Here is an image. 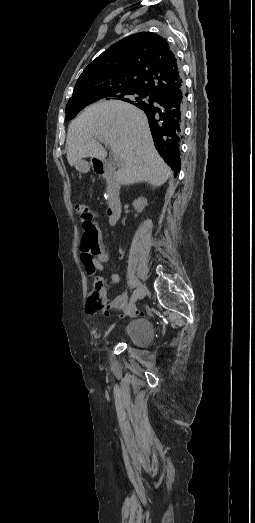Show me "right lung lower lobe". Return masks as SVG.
Returning a JSON list of instances; mask_svg holds the SVG:
<instances>
[{
	"label": "right lung lower lobe",
	"instance_id": "98d812e1",
	"mask_svg": "<svg viewBox=\"0 0 255 523\" xmlns=\"http://www.w3.org/2000/svg\"><path fill=\"white\" fill-rule=\"evenodd\" d=\"M181 104V99L174 96L165 101L159 102L154 108L152 116L155 120L160 122L157 126V129L160 132L158 138L165 144L170 143L175 135L178 126V122L175 119L177 116L175 110L179 108ZM165 119H167L166 122L164 121ZM180 167L178 168V172L180 171Z\"/></svg>",
	"mask_w": 255,
	"mask_h": 523
}]
</instances>
